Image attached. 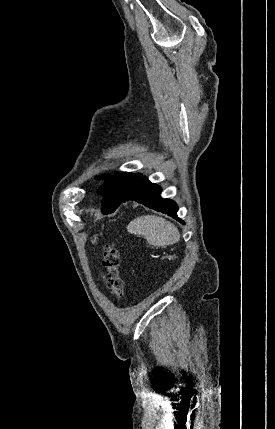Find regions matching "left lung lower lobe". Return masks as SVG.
I'll list each match as a JSON object with an SVG mask.
<instances>
[{
    "mask_svg": "<svg viewBox=\"0 0 275 429\" xmlns=\"http://www.w3.org/2000/svg\"><path fill=\"white\" fill-rule=\"evenodd\" d=\"M160 193L161 188L158 185L151 183L148 178L141 176L123 196L122 202L129 200L138 202L151 209L168 214L184 224V222L177 217V205L172 200L162 199Z\"/></svg>",
    "mask_w": 275,
    "mask_h": 429,
    "instance_id": "1",
    "label": "left lung lower lobe"
}]
</instances>
